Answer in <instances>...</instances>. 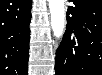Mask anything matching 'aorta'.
Masks as SVG:
<instances>
[{
  "instance_id": "aorta-1",
  "label": "aorta",
  "mask_w": 102,
  "mask_h": 75,
  "mask_svg": "<svg viewBox=\"0 0 102 75\" xmlns=\"http://www.w3.org/2000/svg\"><path fill=\"white\" fill-rule=\"evenodd\" d=\"M64 0H49V9L51 13V27L54 36L62 37L65 28V5Z\"/></svg>"
}]
</instances>
